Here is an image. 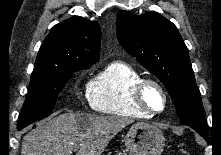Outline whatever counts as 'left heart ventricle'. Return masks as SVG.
<instances>
[{"mask_svg":"<svg viewBox=\"0 0 221 155\" xmlns=\"http://www.w3.org/2000/svg\"><path fill=\"white\" fill-rule=\"evenodd\" d=\"M147 105L153 110H161L163 107V97L160 91L154 86H147L144 92Z\"/></svg>","mask_w":221,"mask_h":155,"instance_id":"obj_1","label":"left heart ventricle"}]
</instances>
